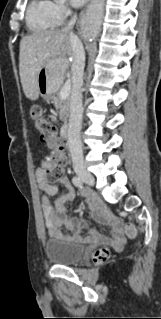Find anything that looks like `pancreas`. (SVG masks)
Returning a JSON list of instances; mask_svg holds the SVG:
<instances>
[{
    "label": "pancreas",
    "mask_w": 161,
    "mask_h": 319,
    "mask_svg": "<svg viewBox=\"0 0 161 319\" xmlns=\"http://www.w3.org/2000/svg\"><path fill=\"white\" fill-rule=\"evenodd\" d=\"M52 103L56 107L57 112L59 113V118L64 123L67 122L68 118V111H69V98H61L60 92L55 93L52 97Z\"/></svg>",
    "instance_id": "cf45deb5"
}]
</instances>
